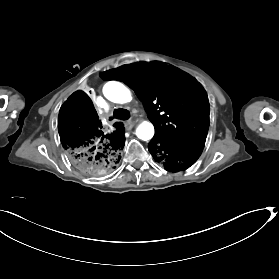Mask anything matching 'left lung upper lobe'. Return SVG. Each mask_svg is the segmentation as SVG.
<instances>
[{
  "label": "left lung upper lobe",
  "mask_w": 279,
  "mask_h": 279,
  "mask_svg": "<svg viewBox=\"0 0 279 279\" xmlns=\"http://www.w3.org/2000/svg\"><path fill=\"white\" fill-rule=\"evenodd\" d=\"M133 89L154 124V140L204 146L209 128L206 92L184 73L159 63H133L100 74Z\"/></svg>",
  "instance_id": "obj_1"
}]
</instances>
